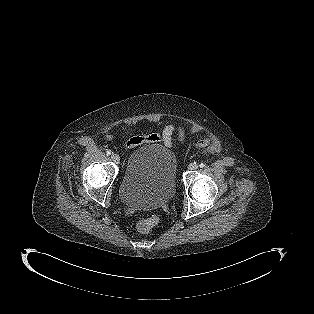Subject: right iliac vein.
I'll return each instance as SVG.
<instances>
[{
	"label": "right iliac vein",
	"mask_w": 314,
	"mask_h": 314,
	"mask_svg": "<svg viewBox=\"0 0 314 314\" xmlns=\"http://www.w3.org/2000/svg\"><path fill=\"white\" fill-rule=\"evenodd\" d=\"M111 159H112V161L115 162V163H119V161H120V157H119V155H117V154H112V155H111Z\"/></svg>",
	"instance_id": "1"
}]
</instances>
